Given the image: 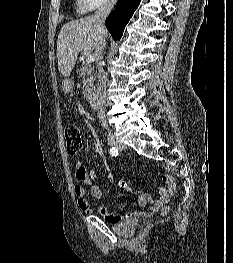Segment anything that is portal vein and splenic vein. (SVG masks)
<instances>
[{"label":"portal vein and splenic vein","mask_w":233,"mask_h":263,"mask_svg":"<svg viewBox=\"0 0 233 263\" xmlns=\"http://www.w3.org/2000/svg\"><path fill=\"white\" fill-rule=\"evenodd\" d=\"M93 62H94V55L88 54V55L86 56V63H87V64H91V63H93Z\"/></svg>","instance_id":"1"}]
</instances>
